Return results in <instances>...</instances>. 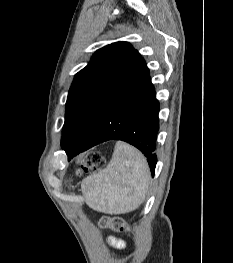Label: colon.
Segmentation results:
<instances>
[{
    "instance_id": "obj_1",
    "label": "colon",
    "mask_w": 233,
    "mask_h": 263,
    "mask_svg": "<svg viewBox=\"0 0 233 263\" xmlns=\"http://www.w3.org/2000/svg\"><path fill=\"white\" fill-rule=\"evenodd\" d=\"M105 166V159L100 152H90L84 157L83 170L85 172H95ZM81 170L77 171L80 174ZM101 227H110L115 231H123L126 229V223L123 218L119 216L102 217L99 220Z\"/></svg>"
}]
</instances>
